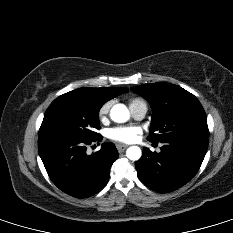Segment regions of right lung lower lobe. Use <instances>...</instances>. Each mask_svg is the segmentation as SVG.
I'll return each mask as SVG.
<instances>
[{
  "label": "right lung lower lobe",
  "instance_id": "1",
  "mask_svg": "<svg viewBox=\"0 0 233 233\" xmlns=\"http://www.w3.org/2000/svg\"><path fill=\"white\" fill-rule=\"evenodd\" d=\"M102 140H87L66 135H46L38 139V151L52 182L76 198H87L101 191L109 180L118 151L111 142L87 155V145Z\"/></svg>",
  "mask_w": 233,
  "mask_h": 233
}]
</instances>
